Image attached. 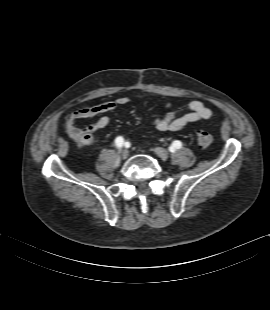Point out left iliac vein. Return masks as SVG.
<instances>
[{
	"instance_id": "4c4485c4",
	"label": "left iliac vein",
	"mask_w": 270,
	"mask_h": 310,
	"mask_svg": "<svg viewBox=\"0 0 270 310\" xmlns=\"http://www.w3.org/2000/svg\"><path fill=\"white\" fill-rule=\"evenodd\" d=\"M155 153L162 159L166 160L169 156L167 150L161 147L155 148Z\"/></svg>"
}]
</instances>
